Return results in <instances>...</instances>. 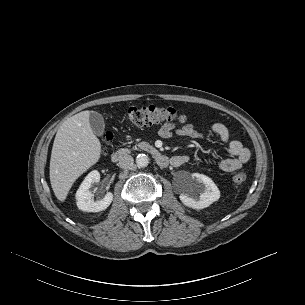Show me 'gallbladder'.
Instances as JSON below:
<instances>
[{"label":"gallbladder","instance_id":"1","mask_svg":"<svg viewBox=\"0 0 305 305\" xmlns=\"http://www.w3.org/2000/svg\"><path fill=\"white\" fill-rule=\"evenodd\" d=\"M89 122L94 134L97 136H102L104 134L105 123L104 118L100 113L92 111L89 116Z\"/></svg>","mask_w":305,"mask_h":305}]
</instances>
